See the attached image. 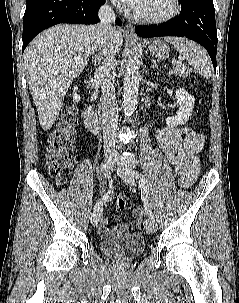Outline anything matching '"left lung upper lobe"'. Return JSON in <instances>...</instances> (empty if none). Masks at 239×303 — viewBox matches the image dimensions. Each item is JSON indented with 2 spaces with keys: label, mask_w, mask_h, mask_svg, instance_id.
Wrapping results in <instances>:
<instances>
[{
  "label": "left lung upper lobe",
  "mask_w": 239,
  "mask_h": 303,
  "mask_svg": "<svg viewBox=\"0 0 239 303\" xmlns=\"http://www.w3.org/2000/svg\"><path fill=\"white\" fill-rule=\"evenodd\" d=\"M190 1H192V0H180L181 5L186 4V3H189Z\"/></svg>",
  "instance_id": "left-lung-upper-lobe-1"
}]
</instances>
